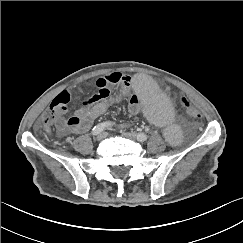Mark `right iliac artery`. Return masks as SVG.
Returning <instances> with one entry per match:
<instances>
[{
	"mask_svg": "<svg viewBox=\"0 0 243 243\" xmlns=\"http://www.w3.org/2000/svg\"><path fill=\"white\" fill-rule=\"evenodd\" d=\"M112 125H114V123H112V122H103V123H100V124L96 125L92 129V134L93 135H97V134L101 133L105 128H108V127H110Z\"/></svg>",
	"mask_w": 243,
	"mask_h": 243,
	"instance_id": "obj_1",
	"label": "right iliac artery"
}]
</instances>
